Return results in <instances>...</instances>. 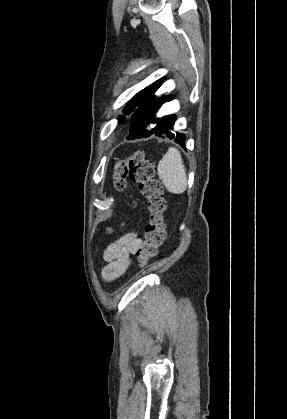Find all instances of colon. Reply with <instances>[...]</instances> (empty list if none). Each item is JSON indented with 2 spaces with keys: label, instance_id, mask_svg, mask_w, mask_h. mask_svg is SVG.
Segmentation results:
<instances>
[{
  "label": "colon",
  "instance_id": "obj_1",
  "mask_svg": "<svg viewBox=\"0 0 287 419\" xmlns=\"http://www.w3.org/2000/svg\"><path fill=\"white\" fill-rule=\"evenodd\" d=\"M155 169L142 150H137L128 157L121 158L114 165V185L118 190L126 186V177L138 184L141 194L147 200L149 220L145 226V238L137 249V261L146 265L153 260L165 239L163 213L166 201L163 187L154 178Z\"/></svg>",
  "mask_w": 287,
  "mask_h": 419
}]
</instances>
